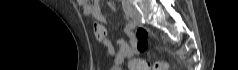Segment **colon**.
<instances>
[{
    "label": "colon",
    "instance_id": "colon-1",
    "mask_svg": "<svg viewBox=\"0 0 238 70\" xmlns=\"http://www.w3.org/2000/svg\"><path fill=\"white\" fill-rule=\"evenodd\" d=\"M91 2L98 3L97 0H92ZM148 35V31L145 28H138L135 31V37L137 39V48L139 51H145L148 48ZM118 58L122 59L123 55L119 54ZM128 67L130 70H168L170 64L159 62L154 65H151L148 60L133 59L129 61Z\"/></svg>",
    "mask_w": 238,
    "mask_h": 70
}]
</instances>
